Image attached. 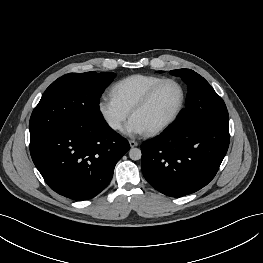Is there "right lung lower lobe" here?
<instances>
[{"instance_id": "98d812e1", "label": "right lung lower lobe", "mask_w": 263, "mask_h": 263, "mask_svg": "<svg viewBox=\"0 0 263 263\" xmlns=\"http://www.w3.org/2000/svg\"><path fill=\"white\" fill-rule=\"evenodd\" d=\"M130 149L103 121L65 126L30 141L32 160L51 189L82 201L110 182L116 163Z\"/></svg>"}]
</instances>
